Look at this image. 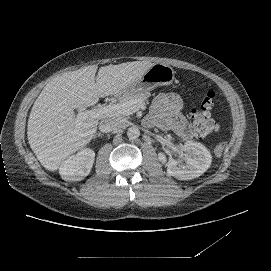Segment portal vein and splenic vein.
Masks as SVG:
<instances>
[{"instance_id": "obj_1", "label": "portal vein and splenic vein", "mask_w": 271, "mask_h": 271, "mask_svg": "<svg viewBox=\"0 0 271 271\" xmlns=\"http://www.w3.org/2000/svg\"><path fill=\"white\" fill-rule=\"evenodd\" d=\"M145 103L142 100H131L118 104H109L101 106L97 109L86 110L79 112L77 116L82 119L95 118L102 119L106 117H115L120 115H131L137 112L139 109H145Z\"/></svg>"}]
</instances>
